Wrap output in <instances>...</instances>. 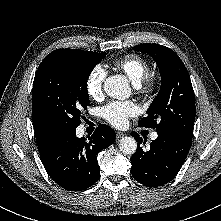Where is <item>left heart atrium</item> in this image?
I'll use <instances>...</instances> for the list:
<instances>
[{
	"mask_svg": "<svg viewBox=\"0 0 221 221\" xmlns=\"http://www.w3.org/2000/svg\"><path fill=\"white\" fill-rule=\"evenodd\" d=\"M138 113V106L133 101H111L100 108L101 117L118 128L124 127L128 119Z\"/></svg>",
	"mask_w": 221,
	"mask_h": 221,
	"instance_id": "1",
	"label": "left heart atrium"
}]
</instances>
